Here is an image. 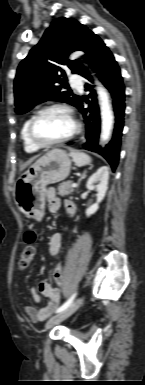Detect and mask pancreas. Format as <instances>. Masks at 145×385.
<instances>
[{"label":"pancreas","mask_w":145,"mask_h":385,"mask_svg":"<svg viewBox=\"0 0 145 385\" xmlns=\"http://www.w3.org/2000/svg\"><path fill=\"white\" fill-rule=\"evenodd\" d=\"M74 192V187H72V183L69 181L65 185H60L58 187V195L67 196Z\"/></svg>","instance_id":"1"}]
</instances>
